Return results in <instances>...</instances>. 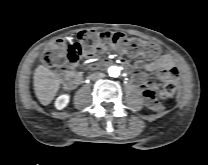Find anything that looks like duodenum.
Wrapping results in <instances>:
<instances>
[{"label":"duodenum","mask_w":208,"mask_h":165,"mask_svg":"<svg viewBox=\"0 0 208 165\" xmlns=\"http://www.w3.org/2000/svg\"><path fill=\"white\" fill-rule=\"evenodd\" d=\"M97 68V66H93L92 68H91V70H95Z\"/></svg>","instance_id":"1"}]
</instances>
